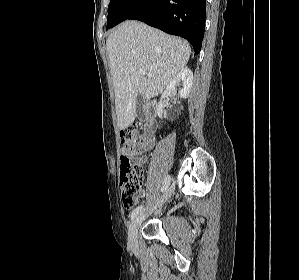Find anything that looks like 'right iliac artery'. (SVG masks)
Instances as JSON below:
<instances>
[{"label": "right iliac artery", "mask_w": 299, "mask_h": 280, "mask_svg": "<svg viewBox=\"0 0 299 280\" xmlns=\"http://www.w3.org/2000/svg\"><path fill=\"white\" fill-rule=\"evenodd\" d=\"M170 182H171V176H167L166 179H165L164 185H163V187H162V190H161L162 192H164V191L167 190V188H168L169 185H170ZM142 208H143V205L138 206L137 208H135V209L132 211V213H131V221H132L133 219H135V217L139 214V212L142 210Z\"/></svg>", "instance_id": "obj_1"}]
</instances>
